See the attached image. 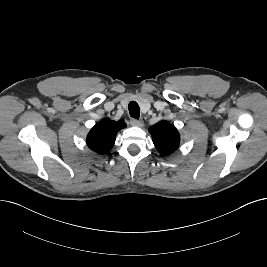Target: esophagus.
Instances as JSON below:
<instances>
[{
    "label": "esophagus",
    "instance_id": "obj_1",
    "mask_svg": "<svg viewBox=\"0 0 267 267\" xmlns=\"http://www.w3.org/2000/svg\"><path fill=\"white\" fill-rule=\"evenodd\" d=\"M130 124H131L132 126L142 127V126H143V120H138V119H134V118H132V119L130 120Z\"/></svg>",
    "mask_w": 267,
    "mask_h": 267
}]
</instances>
